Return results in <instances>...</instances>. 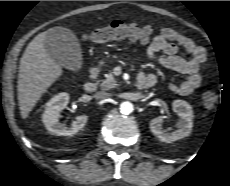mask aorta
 I'll return each instance as SVG.
<instances>
[{
  "instance_id": "aorta-1",
  "label": "aorta",
  "mask_w": 230,
  "mask_h": 186,
  "mask_svg": "<svg viewBox=\"0 0 230 186\" xmlns=\"http://www.w3.org/2000/svg\"><path fill=\"white\" fill-rule=\"evenodd\" d=\"M119 109L122 114L128 115L133 112V104L129 101L122 102Z\"/></svg>"
}]
</instances>
